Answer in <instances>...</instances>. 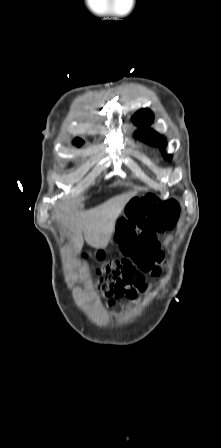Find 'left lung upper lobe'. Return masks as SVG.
I'll return each mask as SVG.
<instances>
[{
    "instance_id": "1",
    "label": "left lung upper lobe",
    "mask_w": 221,
    "mask_h": 448,
    "mask_svg": "<svg viewBox=\"0 0 221 448\" xmlns=\"http://www.w3.org/2000/svg\"><path fill=\"white\" fill-rule=\"evenodd\" d=\"M153 119V113L148 109H142L132 117L134 124L142 128L141 131L136 133L139 139L150 145L160 146L163 150L166 146V140L163 136L159 135L150 128V124L153 122ZM164 157L166 159L171 158L170 155L166 154H164Z\"/></svg>"
}]
</instances>
